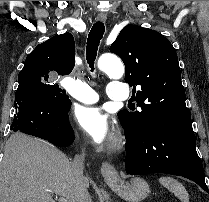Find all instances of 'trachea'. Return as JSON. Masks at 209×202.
Here are the masks:
<instances>
[{"label":"trachea","mask_w":209,"mask_h":202,"mask_svg":"<svg viewBox=\"0 0 209 202\" xmlns=\"http://www.w3.org/2000/svg\"><path fill=\"white\" fill-rule=\"evenodd\" d=\"M104 32L105 26L103 22L98 21L93 25L88 35L86 47V60L89 64L91 72L94 71V64L97 56L98 46L100 44V40L102 39Z\"/></svg>","instance_id":"trachea-1"}]
</instances>
